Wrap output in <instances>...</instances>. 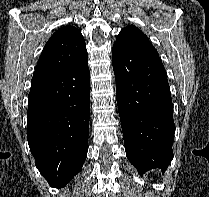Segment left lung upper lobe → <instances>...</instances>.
I'll return each mask as SVG.
<instances>
[{"mask_svg":"<svg viewBox=\"0 0 209 197\" xmlns=\"http://www.w3.org/2000/svg\"><path fill=\"white\" fill-rule=\"evenodd\" d=\"M114 44L159 56L157 50L151 44L148 37L133 25L126 26L124 29H122L118 34Z\"/></svg>","mask_w":209,"mask_h":197,"instance_id":"left-lung-upper-lobe-1","label":"left lung upper lobe"}]
</instances>
